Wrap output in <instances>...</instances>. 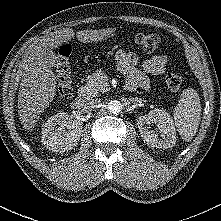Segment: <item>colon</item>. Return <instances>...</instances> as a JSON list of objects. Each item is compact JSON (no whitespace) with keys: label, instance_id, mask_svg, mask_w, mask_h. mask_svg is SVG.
<instances>
[{"label":"colon","instance_id":"obj_1","mask_svg":"<svg viewBox=\"0 0 221 221\" xmlns=\"http://www.w3.org/2000/svg\"><path fill=\"white\" fill-rule=\"evenodd\" d=\"M132 39L134 44L146 53L156 51L160 44V38L153 33H137ZM70 54V45L64 44L60 46L56 57L55 71L58 78L57 96L59 100H67L72 96V82L69 67ZM181 84L182 78L176 73L171 72L165 76V85L168 89L176 91L180 88Z\"/></svg>","mask_w":221,"mask_h":221}]
</instances>
